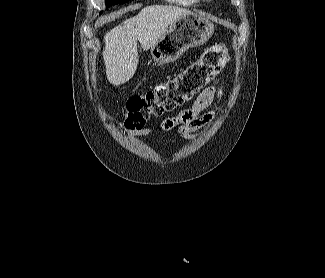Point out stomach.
<instances>
[{"instance_id": "obj_1", "label": "stomach", "mask_w": 325, "mask_h": 278, "mask_svg": "<svg viewBox=\"0 0 325 278\" xmlns=\"http://www.w3.org/2000/svg\"><path fill=\"white\" fill-rule=\"evenodd\" d=\"M213 33V23L202 15L193 13L180 17L151 47L153 60L159 65L175 61L189 48L206 43Z\"/></svg>"}]
</instances>
